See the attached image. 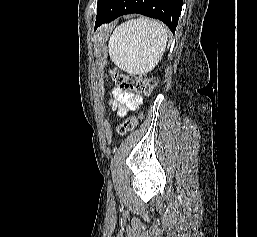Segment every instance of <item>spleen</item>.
<instances>
[{
	"instance_id": "obj_1",
	"label": "spleen",
	"mask_w": 257,
	"mask_h": 237,
	"mask_svg": "<svg viewBox=\"0 0 257 237\" xmlns=\"http://www.w3.org/2000/svg\"><path fill=\"white\" fill-rule=\"evenodd\" d=\"M167 40V30L159 22L147 18L132 19L113 31L109 55L123 71L142 75L158 64Z\"/></svg>"
}]
</instances>
